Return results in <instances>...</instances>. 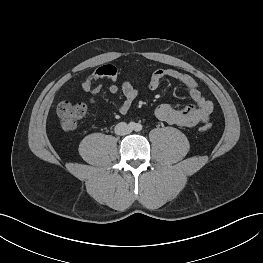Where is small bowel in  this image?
<instances>
[{"mask_svg":"<svg viewBox=\"0 0 263 263\" xmlns=\"http://www.w3.org/2000/svg\"><path fill=\"white\" fill-rule=\"evenodd\" d=\"M116 77L117 71L112 66H103L85 76L81 82V87L88 93V102L90 104L96 103L97 97L103 89L101 79L113 82ZM164 78H172L182 84L195 104H190L182 110L161 104L156 108L155 116L161 121L181 127H194L208 122L213 111V105L210 100L205 98L196 80L192 76L174 69H157L149 80V88L156 90ZM108 91L111 94H117L119 91L123 93L124 100L118 107V112L121 115L128 113L138 95V90L130 81H124L120 86L111 83Z\"/></svg>","mask_w":263,"mask_h":263,"instance_id":"c3829d8e","label":"small bowel"}]
</instances>
